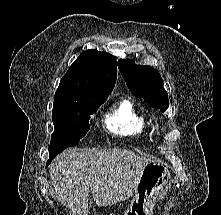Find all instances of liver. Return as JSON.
<instances>
[{
  "mask_svg": "<svg viewBox=\"0 0 221 215\" xmlns=\"http://www.w3.org/2000/svg\"><path fill=\"white\" fill-rule=\"evenodd\" d=\"M149 162L128 150L69 148L52 161L50 178L71 215H88L89 189L98 207L125 201Z\"/></svg>",
  "mask_w": 221,
  "mask_h": 215,
  "instance_id": "6515ba94",
  "label": "liver"
}]
</instances>
